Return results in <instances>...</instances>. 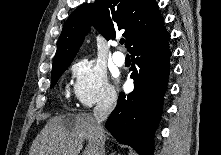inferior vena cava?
Instances as JSON below:
<instances>
[{
    "label": "inferior vena cava",
    "instance_id": "1",
    "mask_svg": "<svg viewBox=\"0 0 221 155\" xmlns=\"http://www.w3.org/2000/svg\"><path fill=\"white\" fill-rule=\"evenodd\" d=\"M117 102V94L115 92H108L104 95L101 100L97 103L94 108V117L97 123L98 135H99V153L98 155L104 154V129L102 122L105 121L112 110L114 109Z\"/></svg>",
    "mask_w": 221,
    "mask_h": 155
}]
</instances>
